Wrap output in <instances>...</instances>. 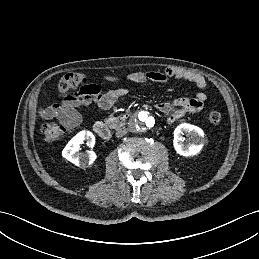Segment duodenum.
<instances>
[{
  "label": "duodenum",
  "mask_w": 259,
  "mask_h": 259,
  "mask_svg": "<svg viewBox=\"0 0 259 259\" xmlns=\"http://www.w3.org/2000/svg\"><path fill=\"white\" fill-rule=\"evenodd\" d=\"M127 120L128 116L122 115L115 118L110 125L99 121L94 124V131L99 137L109 139L111 137L112 127H119L120 125L126 123Z\"/></svg>",
  "instance_id": "410a0bca"
}]
</instances>
